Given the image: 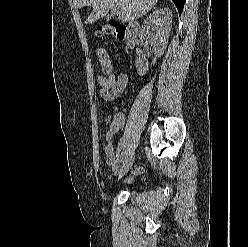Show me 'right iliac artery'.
Segmentation results:
<instances>
[{
    "label": "right iliac artery",
    "instance_id": "obj_1",
    "mask_svg": "<svg viewBox=\"0 0 248 247\" xmlns=\"http://www.w3.org/2000/svg\"><path fill=\"white\" fill-rule=\"evenodd\" d=\"M125 154H126V151H123V152L121 153V157H120L119 164L122 163V161H123V159H124V157H125Z\"/></svg>",
    "mask_w": 248,
    "mask_h": 247
}]
</instances>
